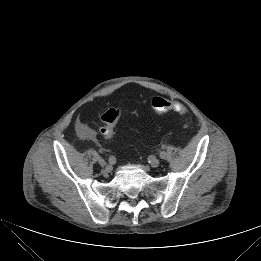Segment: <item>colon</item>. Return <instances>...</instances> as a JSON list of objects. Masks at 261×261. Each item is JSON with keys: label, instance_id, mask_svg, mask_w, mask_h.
<instances>
[{"label": "colon", "instance_id": "1", "mask_svg": "<svg viewBox=\"0 0 261 261\" xmlns=\"http://www.w3.org/2000/svg\"><path fill=\"white\" fill-rule=\"evenodd\" d=\"M153 109L159 113L164 114L170 111L178 112L182 115H186L187 111L185 107L178 101L166 99L161 96H155L151 100ZM120 118V111L118 109L111 108L107 110L101 117L103 126L101 127V134L106 138H111L114 135V127Z\"/></svg>", "mask_w": 261, "mask_h": 261}]
</instances>
